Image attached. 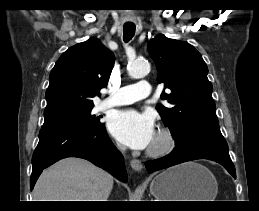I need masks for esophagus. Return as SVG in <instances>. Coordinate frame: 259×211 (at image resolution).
I'll return each mask as SVG.
<instances>
[{
    "label": "esophagus",
    "instance_id": "obj_1",
    "mask_svg": "<svg viewBox=\"0 0 259 211\" xmlns=\"http://www.w3.org/2000/svg\"><path fill=\"white\" fill-rule=\"evenodd\" d=\"M130 165H131L132 169L135 170V171H141L142 170V163L138 159L131 160Z\"/></svg>",
    "mask_w": 259,
    "mask_h": 211
}]
</instances>
